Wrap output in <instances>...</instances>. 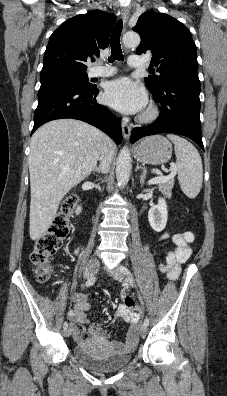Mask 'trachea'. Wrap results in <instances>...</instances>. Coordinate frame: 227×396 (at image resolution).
<instances>
[{"label":"trachea","instance_id":"obj_1","mask_svg":"<svg viewBox=\"0 0 227 396\" xmlns=\"http://www.w3.org/2000/svg\"><path fill=\"white\" fill-rule=\"evenodd\" d=\"M121 31H122V20H118L111 33V38H110L111 56L108 59L109 63H112L115 60H123V54L120 44Z\"/></svg>","mask_w":227,"mask_h":396}]
</instances>
